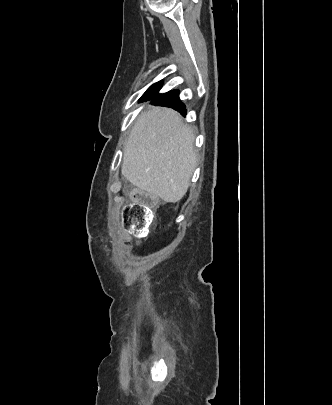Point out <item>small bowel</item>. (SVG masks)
<instances>
[{
  "label": "small bowel",
  "instance_id": "c3829d8e",
  "mask_svg": "<svg viewBox=\"0 0 332 405\" xmlns=\"http://www.w3.org/2000/svg\"><path fill=\"white\" fill-rule=\"evenodd\" d=\"M117 184L119 186H128L130 184V179L128 177H119L117 179Z\"/></svg>",
  "mask_w": 332,
  "mask_h": 405
}]
</instances>
